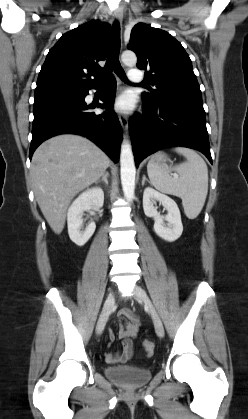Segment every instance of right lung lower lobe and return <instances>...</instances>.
Returning <instances> with one entry per match:
<instances>
[{
	"mask_svg": "<svg viewBox=\"0 0 248 419\" xmlns=\"http://www.w3.org/2000/svg\"><path fill=\"white\" fill-rule=\"evenodd\" d=\"M92 88H97V85ZM115 90L116 81L113 76H110L100 98L103 103L86 105L85 97L89 89L78 94L58 93L35 96L30 159L35 149L46 139L61 133H74L89 138L115 162H118L122 129L116 113L105 111L95 114L90 111L95 106L111 108L114 103Z\"/></svg>",
	"mask_w": 248,
	"mask_h": 419,
	"instance_id": "obj_1",
	"label": "right lung lower lobe"
}]
</instances>
